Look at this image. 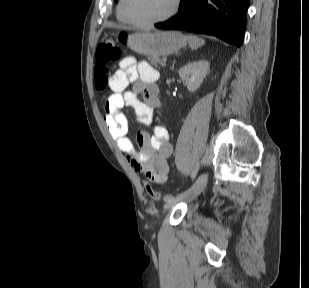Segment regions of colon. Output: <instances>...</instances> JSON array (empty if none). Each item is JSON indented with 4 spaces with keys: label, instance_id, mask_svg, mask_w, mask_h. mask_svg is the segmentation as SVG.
<instances>
[{
    "label": "colon",
    "instance_id": "1",
    "mask_svg": "<svg viewBox=\"0 0 309 288\" xmlns=\"http://www.w3.org/2000/svg\"><path fill=\"white\" fill-rule=\"evenodd\" d=\"M120 43L128 40L126 33H120L117 38ZM122 49L112 41L100 43L96 49V64L94 67V87L98 91L105 90L109 84L110 67L121 57ZM145 189L151 199L160 201L166 193L156 191L149 182H145Z\"/></svg>",
    "mask_w": 309,
    "mask_h": 288
}]
</instances>
